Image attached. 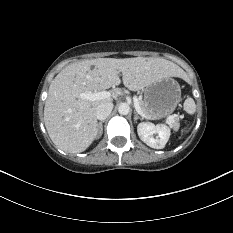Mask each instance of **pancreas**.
Listing matches in <instances>:
<instances>
[{
    "label": "pancreas",
    "mask_w": 233,
    "mask_h": 233,
    "mask_svg": "<svg viewBox=\"0 0 233 233\" xmlns=\"http://www.w3.org/2000/svg\"><path fill=\"white\" fill-rule=\"evenodd\" d=\"M139 105L141 107L142 112L145 115H148V116L151 115L150 111L147 109V107L145 105V102L143 100H139ZM173 127H174V129H177L179 127V120H178V118H175L174 123H173Z\"/></svg>",
    "instance_id": "obj_1"
}]
</instances>
